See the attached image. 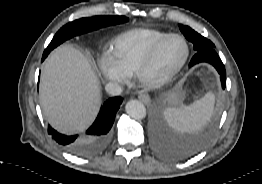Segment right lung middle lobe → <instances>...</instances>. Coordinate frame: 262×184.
<instances>
[{
    "instance_id": "1",
    "label": "right lung middle lobe",
    "mask_w": 262,
    "mask_h": 184,
    "mask_svg": "<svg viewBox=\"0 0 262 184\" xmlns=\"http://www.w3.org/2000/svg\"><path fill=\"white\" fill-rule=\"evenodd\" d=\"M128 18L125 16H94L81 18L68 24L64 25L53 37L52 41L45 49L43 53V58H46L47 55L55 47L60 45L65 40L72 38L73 36L83 34L92 30L99 29L101 27L115 25L127 22Z\"/></svg>"
}]
</instances>
